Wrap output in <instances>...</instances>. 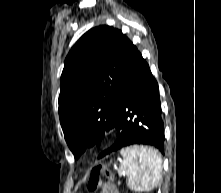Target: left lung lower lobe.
<instances>
[{
	"label": "left lung lower lobe",
	"mask_w": 221,
	"mask_h": 193,
	"mask_svg": "<svg viewBox=\"0 0 221 193\" xmlns=\"http://www.w3.org/2000/svg\"><path fill=\"white\" fill-rule=\"evenodd\" d=\"M161 113L158 84L138 51L119 90L115 124L117 140L99 158L136 144L153 146L164 154L165 137Z\"/></svg>",
	"instance_id": "1"
}]
</instances>
